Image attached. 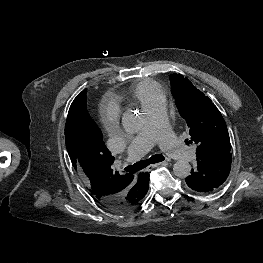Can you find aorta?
<instances>
[{"mask_svg": "<svg viewBox=\"0 0 263 263\" xmlns=\"http://www.w3.org/2000/svg\"><path fill=\"white\" fill-rule=\"evenodd\" d=\"M122 126L127 133H138L144 126V118L138 111L127 110L122 117ZM177 177L185 178L190 175L191 166L187 161L179 160L173 165Z\"/></svg>", "mask_w": 263, "mask_h": 263, "instance_id": "aorta-1", "label": "aorta"}]
</instances>
